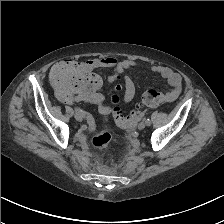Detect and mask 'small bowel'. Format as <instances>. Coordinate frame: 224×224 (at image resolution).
<instances>
[{
    "instance_id": "1",
    "label": "small bowel",
    "mask_w": 224,
    "mask_h": 224,
    "mask_svg": "<svg viewBox=\"0 0 224 224\" xmlns=\"http://www.w3.org/2000/svg\"><path fill=\"white\" fill-rule=\"evenodd\" d=\"M83 66L88 70H93L95 68L100 67L112 68L114 74L111 76V80H115L125 70L136 67L137 63L128 59L118 60L114 57H105L89 59L83 63ZM149 69L151 72L160 75L163 79L167 81L170 89L165 94V101L171 102L175 100L181 92V76L172 69L161 65H150ZM124 82L125 92L123 100L125 103H128L134 98L136 87L134 81L130 76H125ZM101 110L102 112L107 111L105 107H103Z\"/></svg>"
}]
</instances>
